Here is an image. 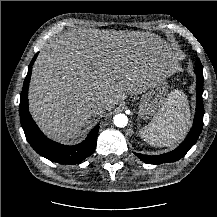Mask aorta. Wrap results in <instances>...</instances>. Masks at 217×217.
<instances>
[{"label":"aorta","instance_id":"1","mask_svg":"<svg viewBox=\"0 0 217 217\" xmlns=\"http://www.w3.org/2000/svg\"><path fill=\"white\" fill-rule=\"evenodd\" d=\"M115 126L119 128H123L127 125L128 123V118L125 114H117L113 118Z\"/></svg>","mask_w":217,"mask_h":217}]
</instances>
